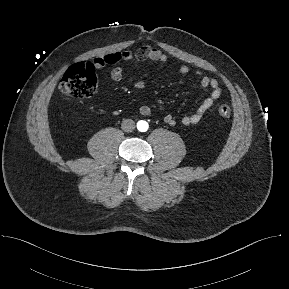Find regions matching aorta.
<instances>
[{"label": "aorta", "instance_id": "aorta-1", "mask_svg": "<svg viewBox=\"0 0 289 289\" xmlns=\"http://www.w3.org/2000/svg\"><path fill=\"white\" fill-rule=\"evenodd\" d=\"M137 127L140 131L144 132L148 129V123L145 121H140V122H138Z\"/></svg>", "mask_w": 289, "mask_h": 289}]
</instances>
